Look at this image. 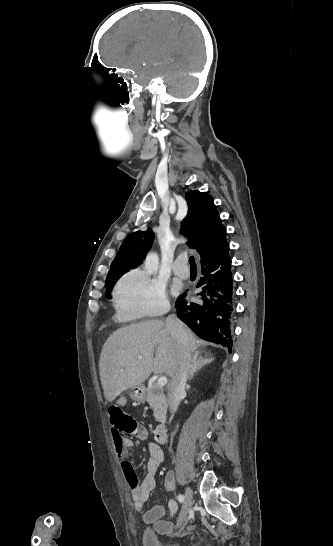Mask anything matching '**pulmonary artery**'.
<instances>
[{"label":"pulmonary artery","instance_id":"obj_1","mask_svg":"<svg viewBox=\"0 0 333 546\" xmlns=\"http://www.w3.org/2000/svg\"><path fill=\"white\" fill-rule=\"evenodd\" d=\"M172 270L175 275L178 277H181L183 279H186L190 276V270L187 266V258L185 257H179L174 262Z\"/></svg>","mask_w":333,"mask_h":546}]
</instances>
